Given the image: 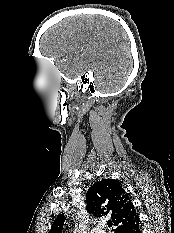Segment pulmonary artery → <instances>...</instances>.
Returning <instances> with one entry per match:
<instances>
[{
    "label": "pulmonary artery",
    "instance_id": "pulmonary-artery-1",
    "mask_svg": "<svg viewBox=\"0 0 174 233\" xmlns=\"http://www.w3.org/2000/svg\"><path fill=\"white\" fill-rule=\"evenodd\" d=\"M91 233H105V232L100 228H94L92 229Z\"/></svg>",
    "mask_w": 174,
    "mask_h": 233
}]
</instances>
